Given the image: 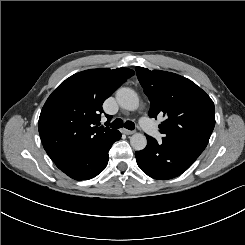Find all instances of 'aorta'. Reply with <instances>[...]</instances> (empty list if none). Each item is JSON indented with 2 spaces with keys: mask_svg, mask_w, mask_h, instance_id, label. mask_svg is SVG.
Listing matches in <instances>:
<instances>
[{
  "mask_svg": "<svg viewBox=\"0 0 245 245\" xmlns=\"http://www.w3.org/2000/svg\"><path fill=\"white\" fill-rule=\"evenodd\" d=\"M118 104L129 111L137 110L139 107V98L137 93L131 88H120L116 93ZM130 144L134 150H143L147 145L146 136L141 133L133 134L130 138Z\"/></svg>",
  "mask_w": 245,
  "mask_h": 245,
  "instance_id": "obj_1",
  "label": "aorta"
}]
</instances>
